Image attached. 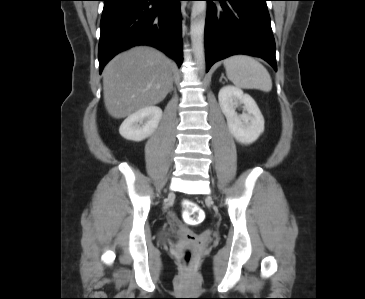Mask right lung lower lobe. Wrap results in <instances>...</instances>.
I'll use <instances>...</instances> for the list:
<instances>
[{
  "label": "right lung lower lobe",
  "instance_id": "obj_1",
  "mask_svg": "<svg viewBox=\"0 0 365 299\" xmlns=\"http://www.w3.org/2000/svg\"><path fill=\"white\" fill-rule=\"evenodd\" d=\"M99 72L119 52L149 45L182 63L181 0H103Z\"/></svg>",
  "mask_w": 365,
  "mask_h": 299
}]
</instances>
